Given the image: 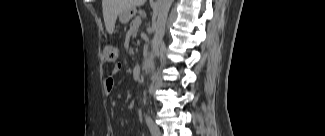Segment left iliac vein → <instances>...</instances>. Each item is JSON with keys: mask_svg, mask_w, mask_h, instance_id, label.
Returning <instances> with one entry per match:
<instances>
[{"mask_svg": "<svg viewBox=\"0 0 325 136\" xmlns=\"http://www.w3.org/2000/svg\"><path fill=\"white\" fill-rule=\"evenodd\" d=\"M151 133L153 136H161V131H160L158 125H156L155 123L153 125V131Z\"/></svg>", "mask_w": 325, "mask_h": 136, "instance_id": "obj_1", "label": "left iliac vein"}]
</instances>
